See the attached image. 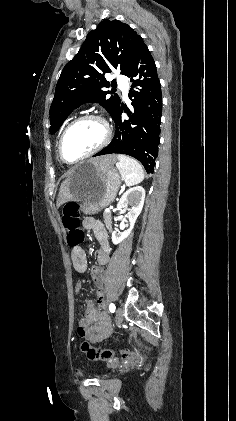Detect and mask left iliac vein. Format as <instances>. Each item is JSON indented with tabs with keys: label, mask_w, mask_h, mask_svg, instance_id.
I'll return each mask as SVG.
<instances>
[{
	"label": "left iliac vein",
	"mask_w": 236,
	"mask_h": 421,
	"mask_svg": "<svg viewBox=\"0 0 236 421\" xmlns=\"http://www.w3.org/2000/svg\"><path fill=\"white\" fill-rule=\"evenodd\" d=\"M123 321V309L121 307H118L116 310V323L117 326H120V324Z\"/></svg>",
	"instance_id": "obj_1"
}]
</instances>
